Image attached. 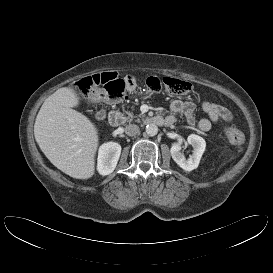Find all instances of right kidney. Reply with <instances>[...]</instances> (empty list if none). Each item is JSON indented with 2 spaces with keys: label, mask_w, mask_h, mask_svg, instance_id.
I'll return each mask as SVG.
<instances>
[{
  "label": "right kidney",
  "mask_w": 273,
  "mask_h": 273,
  "mask_svg": "<svg viewBox=\"0 0 273 273\" xmlns=\"http://www.w3.org/2000/svg\"><path fill=\"white\" fill-rule=\"evenodd\" d=\"M121 154V146L115 142H108L99 148L97 170L105 176L112 173Z\"/></svg>",
  "instance_id": "right-kidney-1"
}]
</instances>
